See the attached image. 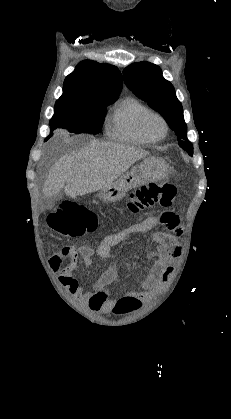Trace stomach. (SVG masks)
Wrapping results in <instances>:
<instances>
[{"instance_id":"obj_1","label":"stomach","mask_w":231,"mask_h":419,"mask_svg":"<svg viewBox=\"0 0 231 419\" xmlns=\"http://www.w3.org/2000/svg\"><path fill=\"white\" fill-rule=\"evenodd\" d=\"M168 165L158 157H145L140 165L121 175L111 185L101 189L97 195L104 202H115L126 193L150 181H160L167 176Z\"/></svg>"}]
</instances>
